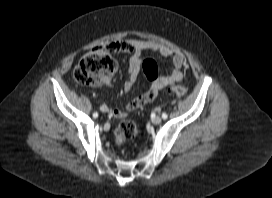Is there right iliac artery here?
Masks as SVG:
<instances>
[{
  "label": "right iliac artery",
  "instance_id": "obj_1",
  "mask_svg": "<svg viewBox=\"0 0 272 198\" xmlns=\"http://www.w3.org/2000/svg\"><path fill=\"white\" fill-rule=\"evenodd\" d=\"M93 117H94V118L98 117V113H97V112L94 113V114H93Z\"/></svg>",
  "mask_w": 272,
  "mask_h": 198
}]
</instances>
